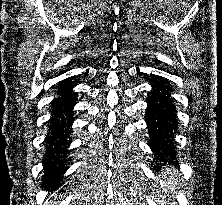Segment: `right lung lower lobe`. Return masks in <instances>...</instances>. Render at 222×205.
<instances>
[{
    "mask_svg": "<svg viewBox=\"0 0 222 205\" xmlns=\"http://www.w3.org/2000/svg\"><path fill=\"white\" fill-rule=\"evenodd\" d=\"M75 85L66 82L58 89L59 97L53 101L52 119L47 134L44 169L46 173L42 178V186L59 187L63 183L62 174L66 163L67 147L70 145L73 107L76 104L77 93L71 92Z\"/></svg>",
    "mask_w": 222,
    "mask_h": 205,
    "instance_id": "98d812e1",
    "label": "right lung lower lobe"
}]
</instances>
